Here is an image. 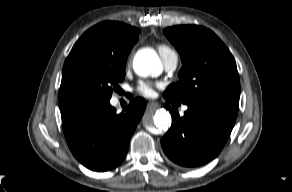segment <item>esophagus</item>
I'll list each match as a JSON object with an SVG mask.
<instances>
[{
    "label": "esophagus",
    "instance_id": "obj_1",
    "mask_svg": "<svg viewBox=\"0 0 292 192\" xmlns=\"http://www.w3.org/2000/svg\"><path fill=\"white\" fill-rule=\"evenodd\" d=\"M158 107H159V104L157 102L150 101L147 104V108L148 109H156Z\"/></svg>",
    "mask_w": 292,
    "mask_h": 192
}]
</instances>
